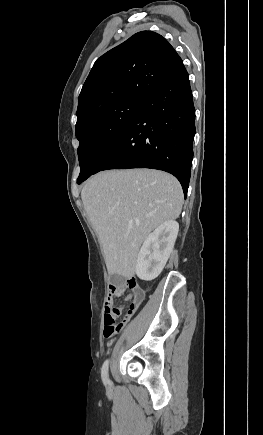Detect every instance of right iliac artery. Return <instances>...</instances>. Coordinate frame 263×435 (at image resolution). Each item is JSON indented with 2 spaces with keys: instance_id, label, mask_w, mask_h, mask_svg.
Listing matches in <instances>:
<instances>
[{
  "instance_id": "right-iliac-artery-1",
  "label": "right iliac artery",
  "mask_w": 263,
  "mask_h": 435,
  "mask_svg": "<svg viewBox=\"0 0 263 435\" xmlns=\"http://www.w3.org/2000/svg\"><path fill=\"white\" fill-rule=\"evenodd\" d=\"M108 364H109V361L106 360L104 362L103 366H102V369H101V377H102V380H103L105 385L108 384V382H109V379H108Z\"/></svg>"
}]
</instances>
